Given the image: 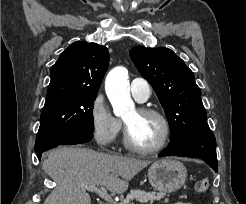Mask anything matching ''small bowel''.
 Instances as JSON below:
<instances>
[{"mask_svg":"<svg viewBox=\"0 0 246 204\" xmlns=\"http://www.w3.org/2000/svg\"><path fill=\"white\" fill-rule=\"evenodd\" d=\"M172 204H192V203H187V202H176V203H172Z\"/></svg>","mask_w":246,"mask_h":204,"instance_id":"1","label":"small bowel"}]
</instances>
